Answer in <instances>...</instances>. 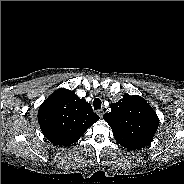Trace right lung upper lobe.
<instances>
[{
    "label": "right lung upper lobe",
    "mask_w": 184,
    "mask_h": 184,
    "mask_svg": "<svg viewBox=\"0 0 184 184\" xmlns=\"http://www.w3.org/2000/svg\"><path fill=\"white\" fill-rule=\"evenodd\" d=\"M99 118L89 103L64 88L49 96L38 110L44 136L53 144L63 146L77 141Z\"/></svg>",
    "instance_id": "cb5924a9"
}]
</instances>
